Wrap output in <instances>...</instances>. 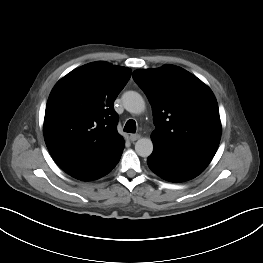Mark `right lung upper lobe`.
Returning a JSON list of instances; mask_svg holds the SVG:
<instances>
[{"mask_svg":"<svg viewBox=\"0 0 263 263\" xmlns=\"http://www.w3.org/2000/svg\"><path fill=\"white\" fill-rule=\"evenodd\" d=\"M131 70L98 61L64 76L48 98L44 118L47 148L68 174L99 166L124 147L114 100Z\"/></svg>","mask_w":263,"mask_h":263,"instance_id":"cb5924a9","label":"right lung upper lobe"}]
</instances>
